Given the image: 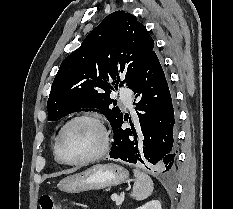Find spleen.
Instances as JSON below:
<instances>
[{
	"instance_id": "spleen-1",
	"label": "spleen",
	"mask_w": 233,
	"mask_h": 209,
	"mask_svg": "<svg viewBox=\"0 0 233 209\" xmlns=\"http://www.w3.org/2000/svg\"><path fill=\"white\" fill-rule=\"evenodd\" d=\"M135 182L133 185L132 196L140 201L148 198L153 192V181L145 173L134 170Z\"/></svg>"
}]
</instances>
